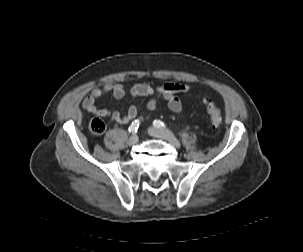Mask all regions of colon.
Returning <instances> with one entry per match:
<instances>
[{
    "instance_id": "colon-1",
    "label": "colon",
    "mask_w": 303,
    "mask_h": 252,
    "mask_svg": "<svg viewBox=\"0 0 303 252\" xmlns=\"http://www.w3.org/2000/svg\"><path fill=\"white\" fill-rule=\"evenodd\" d=\"M204 105L210 117V126L212 128H218L222 122L221 109L208 99L204 101ZM89 127L94 135L103 134L106 128L105 123L100 119H93Z\"/></svg>"
}]
</instances>
